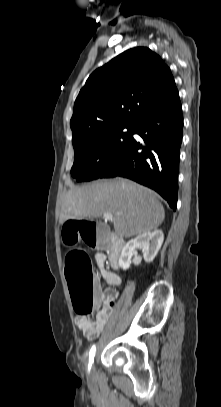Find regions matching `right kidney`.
Listing matches in <instances>:
<instances>
[{
    "instance_id": "obj_1",
    "label": "right kidney",
    "mask_w": 221,
    "mask_h": 407,
    "mask_svg": "<svg viewBox=\"0 0 221 407\" xmlns=\"http://www.w3.org/2000/svg\"><path fill=\"white\" fill-rule=\"evenodd\" d=\"M163 240L164 234L161 230L144 233L137 236L135 239L130 240L121 252L119 266L124 270L128 269L131 264L134 250L138 247L142 249L145 262H152L160 250Z\"/></svg>"
}]
</instances>
